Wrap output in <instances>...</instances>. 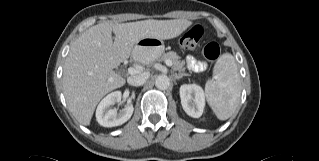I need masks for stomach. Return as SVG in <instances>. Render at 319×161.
Here are the masks:
<instances>
[{"instance_id":"0dacf381","label":"stomach","mask_w":319,"mask_h":161,"mask_svg":"<svg viewBox=\"0 0 319 161\" xmlns=\"http://www.w3.org/2000/svg\"><path fill=\"white\" fill-rule=\"evenodd\" d=\"M164 52V43L157 38H143L133 48V58L141 63H150L160 58Z\"/></svg>"}]
</instances>
